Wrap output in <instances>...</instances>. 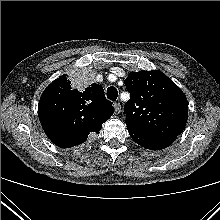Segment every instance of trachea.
I'll list each match as a JSON object with an SVG mask.
<instances>
[{
    "label": "trachea",
    "mask_w": 220,
    "mask_h": 220,
    "mask_svg": "<svg viewBox=\"0 0 220 220\" xmlns=\"http://www.w3.org/2000/svg\"><path fill=\"white\" fill-rule=\"evenodd\" d=\"M118 96V91L115 87L111 86L107 89V98L112 101H116Z\"/></svg>",
    "instance_id": "obj_1"
}]
</instances>
